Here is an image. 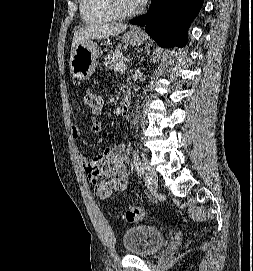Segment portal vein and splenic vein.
Here are the masks:
<instances>
[{
  "instance_id": "obj_1",
  "label": "portal vein and splenic vein",
  "mask_w": 253,
  "mask_h": 271,
  "mask_svg": "<svg viewBox=\"0 0 253 271\" xmlns=\"http://www.w3.org/2000/svg\"><path fill=\"white\" fill-rule=\"evenodd\" d=\"M126 69H127V67L123 63L117 64V66H116V70L125 71Z\"/></svg>"
}]
</instances>
